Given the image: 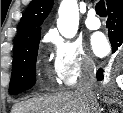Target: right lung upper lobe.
Instances as JSON below:
<instances>
[{
    "mask_svg": "<svg viewBox=\"0 0 123 113\" xmlns=\"http://www.w3.org/2000/svg\"><path fill=\"white\" fill-rule=\"evenodd\" d=\"M110 0H107L108 3ZM53 6V0H32L18 27L14 50L26 41L40 35L43 21Z\"/></svg>",
    "mask_w": 123,
    "mask_h": 113,
    "instance_id": "cb5924a9",
    "label": "right lung upper lobe"
}]
</instances>
